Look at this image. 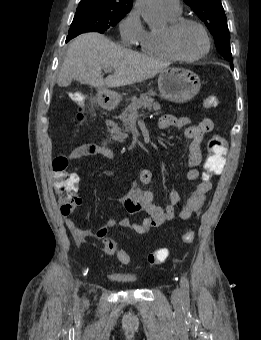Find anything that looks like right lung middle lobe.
Segmentation results:
<instances>
[{
  "label": "right lung middle lobe",
  "instance_id": "right-lung-middle-lobe-1",
  "mask_svg": "<svg viewBox=\"0 0 261 340\" xmlns=\"http://www.w3.org/2000/svg\"><path fill=\"white\" fill-rule=\"evenodd\" d=\"M128 12L117 7L79 5L69 34L92 31L104 33L108 28L114 27Z\"/></svg>",
  "mask_w": 261,
  "mask_h": 340
}]
</instances>
